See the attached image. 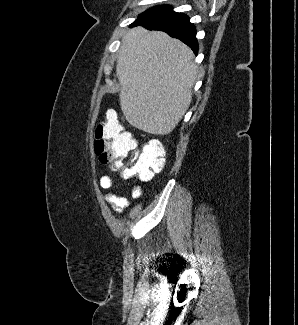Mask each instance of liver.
Returning <instances> with one entry per match:
<instances>
[{
  "label": "liver",
  "instance_id": "liver-1",
  "mask_svg": "<svg viewBox=\"0 0 298 325\" xmlns=\"http://www.w3.org/2000/svg\"><path fill=\"white\" fill-rule=\"evenodd\" d=\"M194 52L178 38L143 26L122 36L116 76L123 118L149 134H169L192 102Z\"/></svg>",
  "mask_w": 298,
  "mask_h": 325
}]
</instances>
